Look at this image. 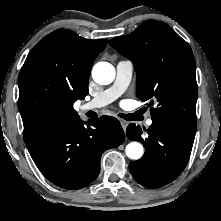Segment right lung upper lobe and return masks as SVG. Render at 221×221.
<instances>
[{"label":"right lung upper lobe","instance_id":"obj_1","mask_svg":"<svg viewBox=\"0 0 221 221\" xmlns=\"http://www.w3.org/2000/svg\"><path fill=\"white\" fill-rule=\"evenodd\" d=\"M106 45L59 29L34 46L18 80L25 142L57 119L78 117L73 104L88 94L92 65Z\"/></svg>","mask_w":221,"mask_h":221}]
</instances>
